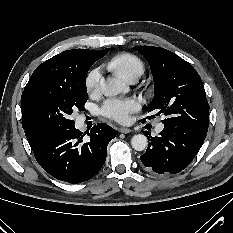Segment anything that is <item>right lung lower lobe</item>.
<instances>
[{"mask_svg":"<svg viewBox=\"0 0 233 233\" xmlns=\"http://www.w3.org/2000/svg\"><path fill=\"white\" fill-rule=\"evenodd\" d=\"M75 126L55 132L32 147L40 166L54 178L81 183L93 178L102 168L107 145L116 136L104 123L94 125L84 138Z\"/></svg>","mask_w":233,"mask_h":233,"instance_id":"98d812e1","label":"right lung lower lobe"}]
</instances>
